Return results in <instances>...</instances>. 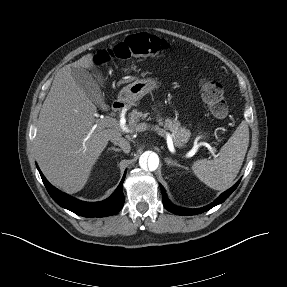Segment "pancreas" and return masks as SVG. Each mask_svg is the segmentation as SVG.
Masks as SVG:
<instances>
[{"instance_id":"obj_1","label":"pancreas","mask_w":287,"mask_h":287,"mask_svg":"<svg viewBox=\"0 0 287 287\" xmlns=\"http://www.w3.org/2000/svg\"><path fill=\"white\" fill-rule=\"evenodd\" d=\"M148 113H143L138 111L137 109L132 110L129 118V126L131 129H135L137 131H143L139 129L142 123L140 120L146 119ZM156 121L159 125L164 126L166 130H169L172 133L174 144L177 147H182L185 143L188 142L189 137L191 135L190 131L185 127L181 126V123L175 118L166 117L165 119L158 115L156 117Z\"/></svg>"}]
</instances>
